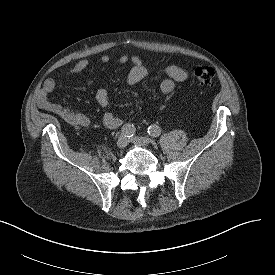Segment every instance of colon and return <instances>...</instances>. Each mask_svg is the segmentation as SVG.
I'll use <instances>...</instances> for the list:
<instances>
[{
    "label": "colon",
    "instance_id": "obj_1",
    "mask_svg": "<svg viewBox=\"0 0 275 275\" xmlns=\"http://www.w3.org/2000/svg\"><path fill=\"white\" fill-rule=\"evenodd\" d=\"M194 75L197 81L204 87H213L215 83V72L210 67H198Z\"/></svg>",
    "mask_w": 275,
    "mask_h": 275
}]
</instances>
